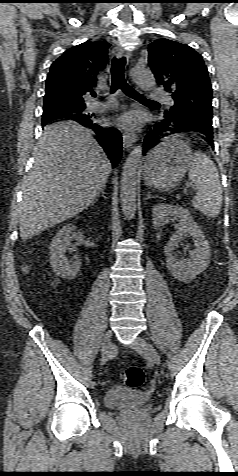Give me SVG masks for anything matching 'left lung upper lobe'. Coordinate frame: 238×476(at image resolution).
I'll return each mask as SVG.
<instances>
[{
  "instance_id": "obj_1",
  "label": "left lung upper lobe",
  "mask_w": 238,
  "mask_h": 476,
  "mask_svg": "<svg viewBox=\"0 0 238 476\" xmlns=\"http://www.w3.org/2000/svg\"><path fill=\"white\" fill-rule=\"evenodd\" d=\"M148 62L157 83L172 94L174 106L164 113L212 117V87L200 54L165 38L149 45Z\"/></svg>"
}]
</instances>
